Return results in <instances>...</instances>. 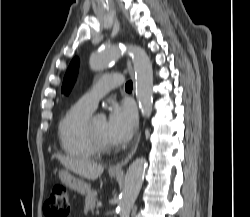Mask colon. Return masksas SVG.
Returning a JSON list of instances; mask_svg holds the SVG:
<instances>
[{"mask_svg": "<svg viewBox=\"0 0 250 217\" xmlns=\"http://www.w3.org/2000/svg\"><path fill=\"white\" fill-rule=\"evenodd\" d=\"M71 202L68 192L63 186H55L51 189L48 199L44 204L46 217H69Z\"/></svg>", "mask_w": 250, "mask_h": 217, "instance_id": "5ec220e1", "label": "colon"}]
</instances>
